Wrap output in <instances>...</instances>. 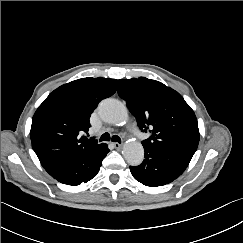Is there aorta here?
I'll return each mask as SVG.
<instances>
[{
	"label": "aorta",
	"instance_id": "obj_1",
	"mask_svg": "<svg viewBox=\"0 0 243 243\" xmlns=\"http://www.w3.org/2000/svg\"><path fill=\"white\" fill-rule=\"evenodd\" d=\"M99 114L101 118L110 124L120 125L128 120V110L119 100L108 98L99 105ZM123 156L127 163L132 166H138L144 159V149L138 141H127L123 146Z\"/></svg>",
	"mask_w": 243,
	"mask_h": 243
}]
</instances>
